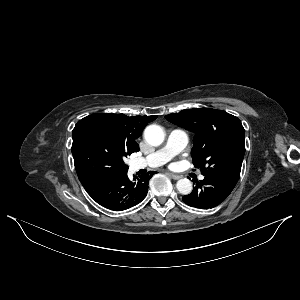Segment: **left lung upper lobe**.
Segmentation results:
<instances>
[{
  "mask_svg": "<svg viewBox=\"0 0 300 300\" xmlns=\"http://www.w3.org/2000/svg\"><path fill=\"white\" fill-rule=\"evenodd\" d=\"M165 118L195 133L191 155L204 176L237 183L245 153L244 128L237 117L222 110L195 108Z\"/></svg>",
  "mask_w": 300,
  "mask_h": 300,
  "instance_id": "1",
  "label": "left lung upper lobe"
}]
</instances>
